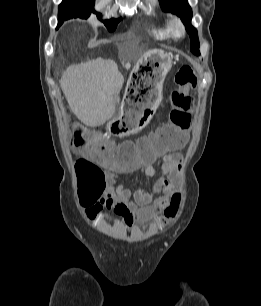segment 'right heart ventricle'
Instances as JSON below:
<instances>
[{
	"mask_svg": "<svg viewBox=\"0 0 261 306\" xmlns=\"http://www.w3.org/2000/svg\"><path fill=\"white\" fill-rule=\"evenodd\" d=\"M150 31L155 37L159 39H165L171 36V30L168 21L153 23L150 27Z\"/></svg>",
	"mask_w": 261,
	"mask_h": 306,
	"instance_id": "right-heart-ventricle-1",
	"label": "right heart ventricle"
}]
</instances>
